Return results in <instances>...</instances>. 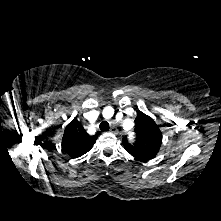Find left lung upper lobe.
Here are the masks:
<instances>
[{"label": "left lung upper lobe", "instance_id": "1", "mask_svg": "<svg viewBox=\"0 0 221 221\" xmlns=\"http://www.w3.org/2000/svg\"><path fill=\"white\" fill-rule=\"evenodd\" d=\"M136 141L128 143L127 138L122 139L125 149L135 158L147 161L153 159L162 143V133L153 119L141 111L135 119Z\"/></svg>", "mask_w": 221, "mask_h": 221}]
</instances>
